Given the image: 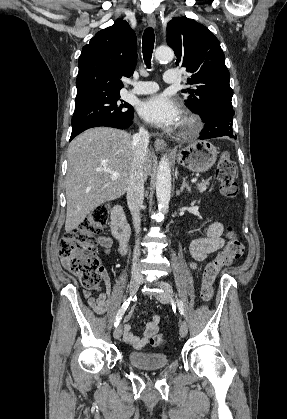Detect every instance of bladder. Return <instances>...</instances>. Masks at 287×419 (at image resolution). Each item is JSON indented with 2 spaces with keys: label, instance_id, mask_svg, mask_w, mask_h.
<instances>
[{
  "label": "bladder",
  "instance_id": "obj_1",
  "mask_svg": "<svg viewBox=\"0 0 287 419\" xmlns=\"http://www.w3.org/2000/svg\"><path fill=\"white\" fill-rule=\"evenodd\" d=\"M127 360L132 366L145 370L161 369L168 363L165 354L147 351H132L128 354Z\"/></svg>",
  "mask_w": 287,
  "mask_h": 419
}]
</instances>
